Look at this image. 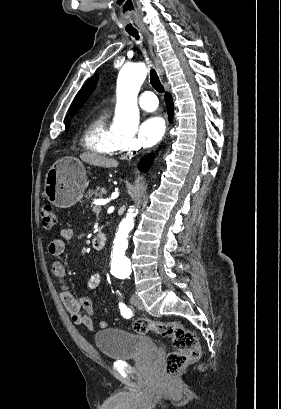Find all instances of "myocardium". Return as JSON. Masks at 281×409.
<instances>
[{
  "mask_svg": "<svg viewBox=\"0 0 281 409\" xmlns=\"http://www.w3.org/2000/svg\"><path fill=\"white\" fill-rule=\"evenodd\" d=\"M119 137H120V138H121V140H122V138H123V137H122V136H120V135H119Z\"/></svg>",
  "mask_w": 281,
  "mask_h": 409,
  "instance_id": "1",
  "label": "myocardium"
}]
</instances>
